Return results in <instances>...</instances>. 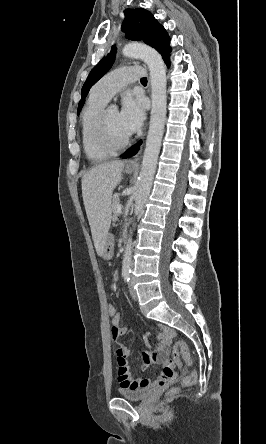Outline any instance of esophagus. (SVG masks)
Returning <instances> with one entry per match:
<instances>
[{"instance_id":"esophagus-1","label":"esophagus","mask_w":266,"mask_h":444,"mask_svg":"<svg viewBox=\"0 0 266 444\" xmlns=\"http://www.w3.org/2000/svg\"><path fill=\"white\" fill-rule=\"evenodd\" d=\"M140 153H141V150L132 159H130L126 163V166L127 167H138V159H139Z\"/></svg>"}]
</instances>
